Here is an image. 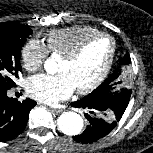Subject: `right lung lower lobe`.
Listing matches in <instances>:
<instances>
[{
    "mask_svg": "<svg viewBox=\"0 0 153 153\" xmlns=\"http://www.w3.org/2000/svg\"><path fill=\"white\" fill-rule=\"evenodd\" d=\"M7 90L0 88V142L8 141L23 132L29 112L36 105L31 99L19 102L9 98Z\"/></svg>",
    "mask_w": 153,
    "mask_h": 153,
    "instance_id": "1",
    "label": "right lung lower lobe"
}]
</instances>
